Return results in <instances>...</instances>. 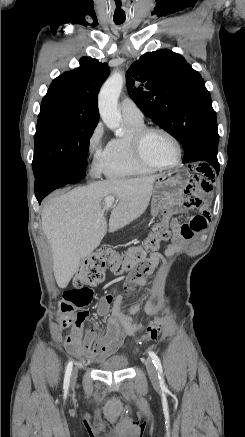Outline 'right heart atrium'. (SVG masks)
Listing matches in <instances>:
<instances>
[{"label":"right heart atrium","instance_id":"obj_1","mask_svg":"<svg viewBox=\"0 0 245 437\" xmlns=\"http://www.w3.org/2000/svg\"><path fill=\"white\" fill-rule=\"evenodd\" d=\"M104 133L102 123H98L87 141V154L92 161V168L95 174H99L102 171V164L106 153Z\"/></svg>","mask_w":245,"mask_h":437}]
</instances>
